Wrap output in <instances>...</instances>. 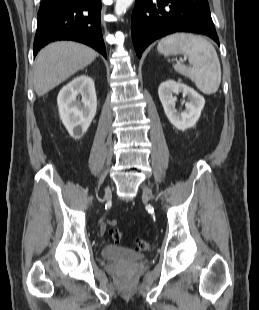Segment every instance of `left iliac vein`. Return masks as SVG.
<instances>
[{
    "label": "left iliac vein",
    "mask_w": 259,
    "mask_h": 310,
    "mask_svg": "<svg viewBox=\"0 0 259 310\" xmlns=\"http://www.w3.org/2000/svg\"><path fill=\"white\" fill-rule=\"evenodd\" d=\"M143 194H144L145 196H147V197H149V198L152 199V192H151V190H150L149 187L144 186V188H143Z\"/></svg>",
    "instance_id": "obj_1"
}]
</instances>
